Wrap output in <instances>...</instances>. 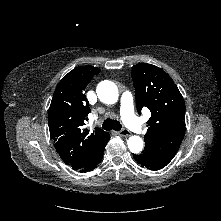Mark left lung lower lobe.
<instances>
[{
	"label": "left lung lower lobe",
	"mask_w": 221,
	"mask_h": 221,
	"mask_svg": "<svg viewBox=\"0 0 221 221\" xmlns=\"http://www.w3.org/2000/svg\"><path fill=\"white\" fill-rule=\"evenodd\" d=\"M134 159L138 162L142 167H145L150 170H160L164 168L168 163L161 162L160 160L155 159L151 155L146 152H143L138 155H134Z\"/></svg>",
	"instance_id": "left-lung-lower-lobe-1"
}]
</instances>
